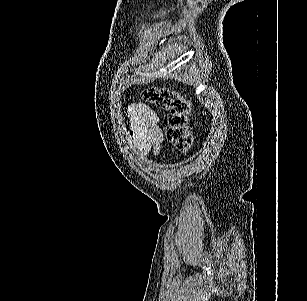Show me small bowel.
Returning <instances> with one entry per match:
<instances>
[{"label":"small bowel","mask_w":307,"mask_h":301,"mask_svg":"<svg viewBox=\"0 0 307 301\" xmlns=\"http://www.w3.org/2000/svg\"><path fill=\"white\" fill-rule=\"evenodd\" d=\"M130 126L129 134L140 154H158L164 140L157 114L146 104L138 102L127 110Z\"/></svg>","instance_id":"c3829d8e"}]
</instances>
